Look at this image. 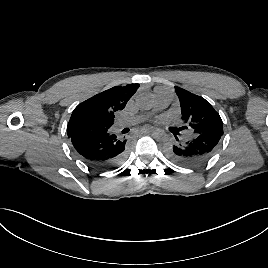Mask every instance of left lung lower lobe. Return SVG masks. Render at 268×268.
Wrapping results in <instances>:
<instances>
[{"instance_id":"0a47b994","label":"left lung lower lobe","mask_w":268,"mask_h":268,"mask_svg":"<svg viewBox=\"0 0 268 268\" xmlns=\"http://www.w3.org/2000/svg\"><path fill=\"white\" fill-rule=\"evenodd\" d=\"M222 134L204 133L192 135L187 141L179 140L176 137L168 150L170 158L183 166L194 167L207 162L216 152Z\"/></svg>"}]
</instances>
